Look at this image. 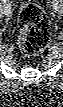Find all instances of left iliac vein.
<instances>
[{"label":"left iliac vein","instance_id":"1","mask_svg":"<svg viewBox=\"0 0 63 107\" xmlns=\"http://www.w3.org/2000/svg\"><path fill=\"white\" fill-rule=\"evenodd\" d=\"M54 10L56 13L61 14L62 13V6L58 5V3H56V5L54 6Z\"/></svg>","mask_w":63,"mask_h":107}]
</instances>
